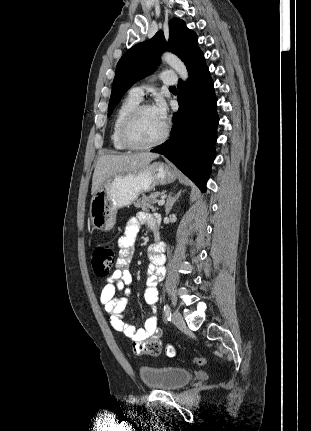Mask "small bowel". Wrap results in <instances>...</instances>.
I'll return each mask as SVG.
<instances>
[{
  "mask_svg": "<svg viewBox=\"0 0 311 431\" xmlns=\"http://www.w3.org/2000/svg\"><path fill=\"white\" fill-rule=\"evenodd\" d=\"M148 226L150 230L159 234L160 216L148 212H139L130 218L126 224L123 235L118 240L119 259L117 267L106 280L101 294L100 302L109 314L111 326L131 338L135 343H142L148 339L159 341L161 330L158 327V283L163 274L165 261V244L158 242L149 248L150 264L147 269V282L144 299L150 306V314L144 322L135 327L125 321L124 313L128 307V295L132 275L130 263L135 250V241L141 226Z\"/></svg>",
  "mask_w": 311,
  "mask_h": 431,
  "instance_id": "1",
  "label": "small bowel"
}]
</instances>
